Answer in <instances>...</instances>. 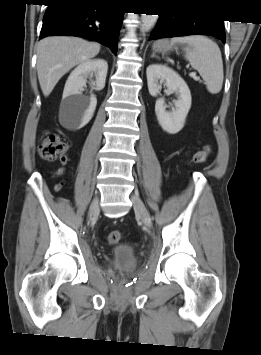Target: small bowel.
<instances>
[{"mask_svg":"<svg viewBox=\"0 0 261 355\" xmlns=\"http://www.w3.org/2000/svg\"><path fill=\"white\" fill-rule=\"evenodd\" d=\"M67 159H68V157H67V156H64V157L61 159V162H62V163H66ZM65 172H66L65 167H60V168H58V169L52 174V176H53V177H59V176L64 175Z\"/></svg>","mask_w":261,"mask_h":355,"instance_id":"obj_1","label":"small bowel"}]
</instances>
